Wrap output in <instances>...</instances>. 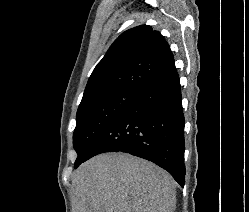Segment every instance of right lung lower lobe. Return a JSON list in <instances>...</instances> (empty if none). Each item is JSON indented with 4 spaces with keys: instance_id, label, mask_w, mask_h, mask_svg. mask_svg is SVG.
Returning a JSON list of instances; mask_svg holds the SVG:
<instances>
[{
    "instance_id": "obj_1",
    "label": "right lung lower lobe",
    "mask_w": 249,
    "mask_h": 212,
    "mask_svg": "<svg viewBox=\"0 0 249 212\" xmlns=\"http://www.w3.org/2000/svg\"><path fill=\"white\" fill-rule=\"evenodd\" d=\"M181 101L179 76L175 72L139 93L102 132L86 160L104 152L129 153L159 165L184 186Z\"/></svg>"
}]
</instances>
